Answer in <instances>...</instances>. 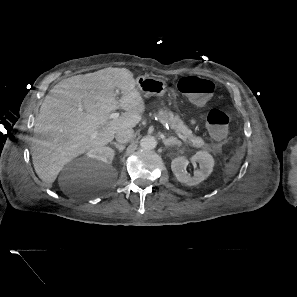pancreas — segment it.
Here are the masks:
<instances>
[{
    "mask_svg": "<svg viewBox=\"0 0 297 297\" xmlns=\"http://www.w3.org/2000/svg\"><path fill=\"white\" fill-rule=\"evenodd\" d=\"M158 117L161 121H165L169 124L171 129L175 132L182 134L188 143L195 148H200L209 152H213L212 147L205 143V141L192 133V131L184 124L178 115H174L171 111L161 109L158 112Z\"/></svg>",
    "mask_w": 297,
    "mask_h": 297,
    "instance_id": "pancreas-1",
    "label": "pancreas"
}]
</instances>
